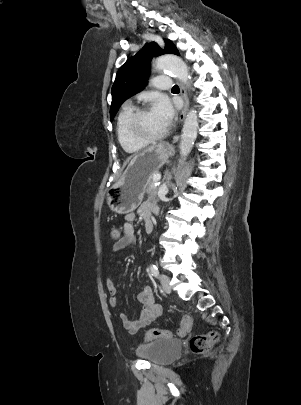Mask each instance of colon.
<instances>
[{
	"label": "colon",
	"mask_w": 301,
	"mask_h": 405,
	"mask_svg": "<svg viewBox=\"0 0 301 405\" xmlns=\"http://www.w3.org/2000/svg\"><path fill=\"white\" fill-rule=\"evenodd\" d=\"M117 224H112L110 226L111 238L115 240L119 235V229ZM192 326V319L189 316H185L182 320V323L179 329L176 332L170 330H163L158 328H153L147 331L144 341H152L158 338H171L176 335H184L189 332ZM219 340V334L215 331H211L204 334L194 335L190 338L189 345L190 350L195 354H204L207 353L211 347L217 343Z\"/></svg>",
	"instance_id": "5ec220e1"
}]
</instances>
